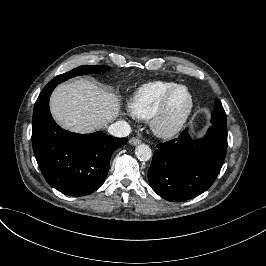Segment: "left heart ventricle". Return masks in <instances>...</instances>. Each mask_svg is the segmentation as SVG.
<instances>
[{
  "label": "left heart ventricle",
  "mask_w": 266,
  "mask_h": 266,
  "mask_svg": "<svg viewBox=\"0 0 266 266\" xmlns=\"http://www.w3.org/2000/svg\"><path fill=\"white\" fill-rule=\"evenodd\" d=\"M190 108V97L186 89L180 88L172 98L162 125L165 128H172L178 125L186 116Z\"/></svg>",
  "instance_id": "left-heart-ventricle-1"
}]
</instances>
